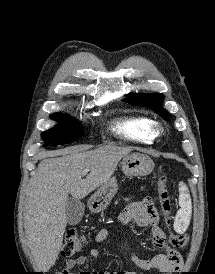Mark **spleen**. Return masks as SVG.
<instances>
[{"instance_id": "obj_1", "label": "spleen", "mask_w": 215, "mask_h": 274, "mask_svg": "<svg viewBox=\"0 0 215 274\" xmlns=\"http://www.w3.org/2000/svg\"><path fill=\"white\" fill-rule=\"evenodd\" d=\"M179 205L180 209L175 218L174 229L176 232L182 233L185 231L192 213L189 191L183 182L179 183Z\"/></svg>"}]
</instances>
